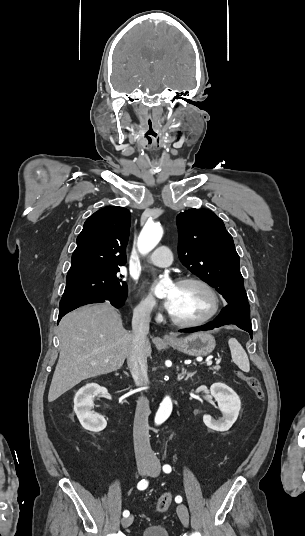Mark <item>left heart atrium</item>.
I'll return each mask as SVG.
<instances>
[{
  "label": "left heart atrium",
  "mask_w": 305,
  "mask_h": 536,
  "mask_svg": "<svg viewBox=\"0 0 305 536\" xmlns=\"http://www.w3.org/2000/svg\"><path fill=\"white\" fill-rule=\"evenodd\" d=\"M171 304H172L171 299H170V298H166V300L164 301V306H165V308L170 309V308H171Z\"/></svg>",
  "instance_id": "left-heart-atrium-1"
}]
</instances>
